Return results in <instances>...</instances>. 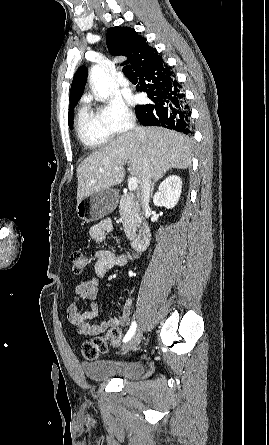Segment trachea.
Instances as JSON below:
<instances>
[{"instance_id": "trachea-1", "label": "trachea", "mask_w": 269, "mask_h": 445, "mask_svg": "<svg viewBox=\"0 0 269 445\" xmlns=\"http://www.w3.org/2000/svg\"><path fill=\"white\" fill-rule=\"evenodd\" d=\"M123 73H124V75H125L127 78H130V77H134V76H135V73L133 72V70L131 69V67H130L129 65H126V66L123 68Z\"/></svg>"}]
</instances>
